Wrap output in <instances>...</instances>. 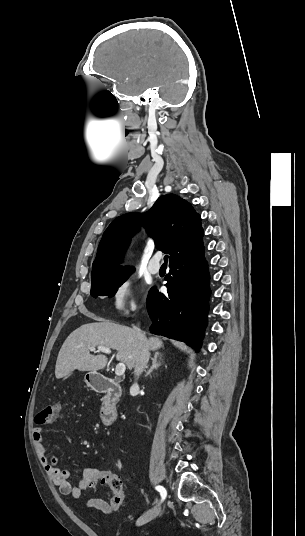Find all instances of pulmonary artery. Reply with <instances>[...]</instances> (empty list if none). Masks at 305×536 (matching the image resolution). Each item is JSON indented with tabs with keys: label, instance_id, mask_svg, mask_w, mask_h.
<instances>
[{
	"label": "pulmonary artery",
	"instance_id": "obj_1",
	"mask_svg": "<svg viewBox=\"0 0 305 536\" xmlns=\"http://www.w3.org/2000/svg\"><path fill=\"white\" fill-rule=\"evenodd\" d=\"M159 257H160V253H157L156 255H154L152 257V262L149 263L148 265V270L152 273V274H157L159 271H160V264L158 263V260H159Z\"/></svg>",
	"mask_w": 305,
	"mask_h": 536
}]
</instances>
